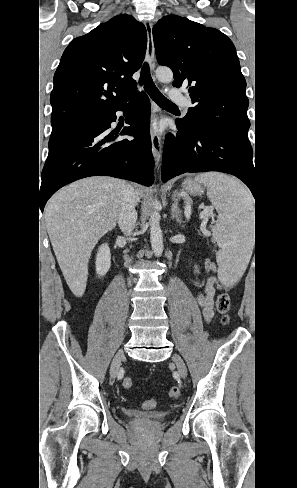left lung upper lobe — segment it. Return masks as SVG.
<instances>
[{
  "instance_id": "1",
  "label": "left lung upper lobe",
  "mask_w": 297,
  "mask_h": 488,
  "mask_svg": "<svg viewBox=\"0 0 297 488\" xmlns=\"http://www.w3.org/2000/svg\"><path fill=\"white\" fill-rule=\"evenodd\" d=\"M156 57L170 67L173 85L187 86L192 103L180 121L248 140L246 81L232 41L215 28L180 16H165L153 27Z\"/></svg>"
}]
</instances>
